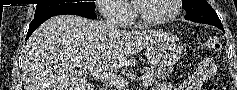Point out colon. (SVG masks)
Segmentation results:
<instances>
[{"instance_id": "1", "label": "colon", "mask_w": 237, "mask_h": 90, "mask_svg": "<svg viewBox=\"0 0 237 90\" xmlns=\"http://www.w3.org/2000/svg\"><path fill=\"white\" fill-rule=\"evenodd\" d=\"M215 49H216L217 51H219V50H220L219 45H216Z\"/></svg>"}]
</instances>
